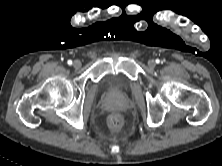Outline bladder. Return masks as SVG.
I'll use <instances>...</instances> for the list:
<instances>
[{
	"label": "bladder",
	"mask_w": 222,
	"mask_h": 166,
	"mask_svg": "<svg viewBox=\"0 0 222 166\" xmlns=\"http://www.w3.org/2000/svg\"><path fill=\"white\" fill-rule=\"evenodd\" d=\"M103 85L109 93L118 95L126 89L127 82L122 76L110 75L104 78Z\"/></svg>",
	"instance_id": "1"
}]
</instances>
